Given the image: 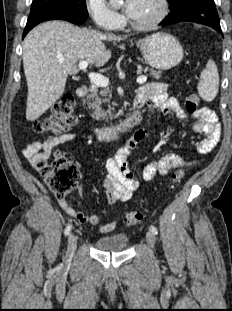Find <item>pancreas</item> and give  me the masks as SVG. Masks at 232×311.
Returning a JSON list of instances; mask_svg holds the SVG:
<instances>
[{
    "instance_id": "obj_1",
    "label": "pancreas",
    "mask_w": 232,
    "mask_h": 311,
    "mask_svg": "<svg viewBox=\"0 0 232 311\" xmlns=\"http://www.w3.org/2000/svg\"><path fill=\"white\" fill-rule=\"evenodd\" d=\"M138 70L140 72H149V75L153 76L155 79H159L162 74L160 71L148 67L142 68L141 66H138ZM89 91L90 94L87 95L85 100H83V103L87 104L90 109L94 110L92 118L95 120H103L105 122L114 119L116 116L110 111H104L101 106L102 103H110V98L112 97L111 91L108 88L100 89L99 86L93 83H91ZM107 113H109V116H107Z\"/></svg>"
}]
</instances>
